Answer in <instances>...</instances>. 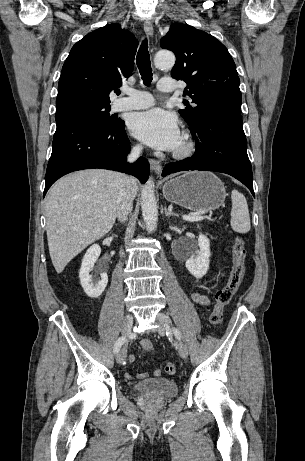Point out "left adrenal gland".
<instances>
[{
    "label": "left adrenal gland",
    "mask_w": 305,
    "mask_h": 461,
    "mask_svg": "<svg viewBox=\"0 0 305 461\" xmlns=\"http://www.w3.org/2000/svg\"><path fill=\"white\" fill-rule=\"evenodd\" d=\"M165 216H166V217H170V216H177V217H178L177 214H175V213H173L172 211L168 210V209L166 208V206H165Z\"/></svg>",
    "instance_id": "a2214340"
}]
</instances>
